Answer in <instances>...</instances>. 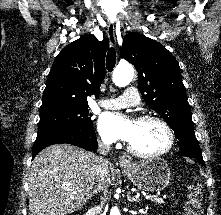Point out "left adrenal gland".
I'll return each mask as SVG.
<instances>
[{"instance_id": "a2214340", "label": "left adrenal gland", "mask_w": 221, "mask_h": 215, "mask_svg": "<svg viewBox=\"0 0 221 215\" xmlns=\"http://www.w3.org/2000/svg\"><path fill=\"white\" fill-rule=\"evenodd\" d=\"M127 199L130 202H137V201H139L138 199L131 197L130 192H128V194H127Z\"/></svg>"}]
</instances>
